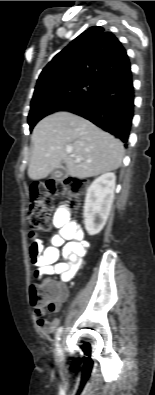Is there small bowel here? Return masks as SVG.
Segmentation results:
<instances>
[{"instance_id":"small-bowel-1","label":"small bowel","mask_w":155,"mask_h":395,"mask_svg":"<svg viewBox=\"0 0 155 395\" xmlns=\"http://www.w3.org/2000/svg\"><path fill=\"white\" fill-rule=\"evenodd\" d=\"M53 223L59 231L51 238V245L46 247L45 237H34V240H30L27 259L31 260L34 274H57L65 283L76 274L81 266L88 243L78 224L70 220L69 212L64 206H59L55 211ZM66 295L67 291L62 287V296L56 301V306L51 311L59 310ZM34 319L44 334L53 333L59 324V319L47 320L43 308L35 309Z\"/></svg>"}]
</instances>
